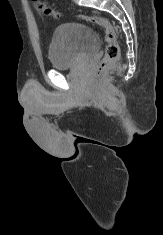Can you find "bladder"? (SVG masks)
Wrapping results in <instances>:
<instances>
[{
    "label": "bladder",
    "instance_id": "bladder-1",
    "mask_svg": "<svg viewBox=\"0 0 163 235\" xmlns=\"http://www.w3.org/2000/svg\"><path fill=\"white\" fill-rule=\"evenodd\" d=\"M96 32L81 23H66L58 26L49 44V60L54 69L76 66L99 49Z\"/></svg>",
    "mask_w": 163,
    "mask_h": 235
}]
</instances>
